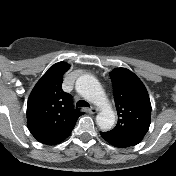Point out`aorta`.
Instances as JSON below:
<instances>
[{
	"instance_id": "762f6f07",
	"label": "aorta",
	"mask_w": 176,
	"mask_h": 176,
	"mask_svg": "<svg viewBox=\"0 0 176 176\" xmlns=\"http://www.w3.org/2000/svg\"><path fill=\"white\" fill-rule=\"evenodd\" d=\"M81 93L88 101L101 109L96 117V123L99 128L104 131L110 130L115 123V113L98 80L93 76H84Z\"/></svg>"
}]
</instances>
